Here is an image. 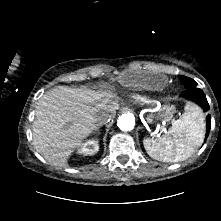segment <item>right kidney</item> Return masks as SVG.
Instances as JSON below:
<instances>
[{"label": "right kidney", "mask_w": 221, "mask_h": 221, "mask_svg": "<svg viewBox=\"0 0 221 221\" xmlns=\"http://www.w3.org/2000/svg\"><path fill=\"white\" fill-rule=\"evenodd\" d=\"M98 150V141L88 140L80 146V148L78 149V153L84 155H94L98 152Z\"/></svg>", "instance_id": "obj_1"}]
</instances>
